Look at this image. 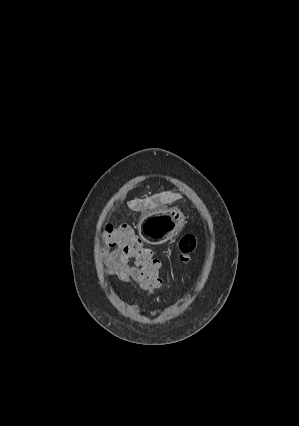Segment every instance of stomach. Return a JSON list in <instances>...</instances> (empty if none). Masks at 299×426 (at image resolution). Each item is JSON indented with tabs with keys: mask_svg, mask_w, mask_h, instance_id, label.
<instances>
[{
	"mask_svg": "<svg viewBox=\"0 0 299 426\" xmlns=\"http://www.w3.org/2000/svg\"><path fill=\"white\" fill-rule=\"evenodd\" d=\"M185 223L186 217L178 208H161L141 217L138 233L145 242L158 245L178 235Z\"/></svg>",
	"mask_w": 299,
	"mask_h": 426,
	"instance_id": "1",
	"label": "stomach"
}]
</instances>
